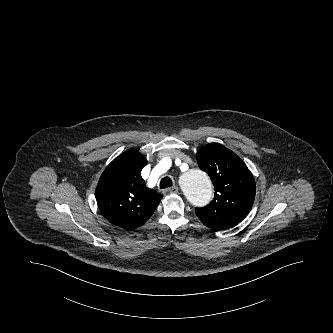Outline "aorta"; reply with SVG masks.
Returning <instances> with one entry per match:
<instances>
[{
	"instance_id": "1",
	"label": "aorta",
	"mask_w": 333,
	"mask_h": 333,
	"mask_svg": "<svg viewBox=\"0 0 333 333\" xmlns=\"http://www.w3.org/2000/svg\"><path fill=\"white\" fill-rule=\"evenodd\" d=\"M182 191L186 199L195 207L207 205L213 197V187L205 171L190 167L182 174Z\"/></svg>"
}]
</instances>
